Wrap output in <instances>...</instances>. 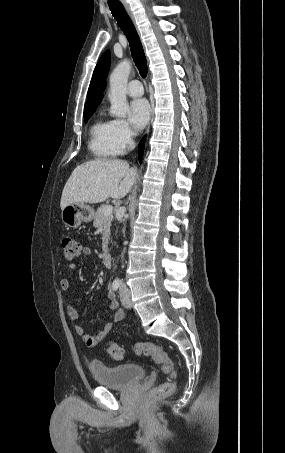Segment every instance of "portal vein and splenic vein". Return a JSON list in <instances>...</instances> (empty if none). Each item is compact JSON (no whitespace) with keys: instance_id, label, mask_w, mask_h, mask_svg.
<instances>
[{"instance_id":"18ae733b","label":"portal vein and splenic vein","mask_w":285,"mask_h":453,"mask_svg":"<svg viewBox=\"0 0 285 453\" xmlns=\"http://www.w3.org/2000/svg\"><path fill=\"white\" fill-rule=\"evenodd\" d=\"M112 211H113V207L111 205H108L103 208L102 213H103V215H110V214H112Z\"/></svg>"}]
</instances>
